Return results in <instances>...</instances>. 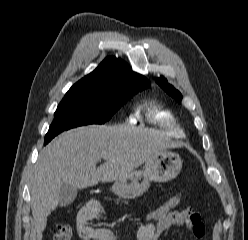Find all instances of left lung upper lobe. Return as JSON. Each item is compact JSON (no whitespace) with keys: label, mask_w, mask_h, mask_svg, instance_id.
Returning <instances> with one entry per match:
<instances>
[{"label":"left lung upper lobe","mask_w":248,"mask_h":240,"mask_svg":"<svg viewBox=\"0 0 248 240\" xmlns=\"http://www.w3.org/2000/svg\"><path fill=\"white\" fill-rule=\"evenodd\" d=\"M156 81L159 84V86L163 88V90H165L170 96L174 97L178 101V103H181L182 100L181 93L178 90H176L172 85L168 84L167 80L163 76L158 78Z\"/></svg>","instance_id":"1"}]
</instances>
